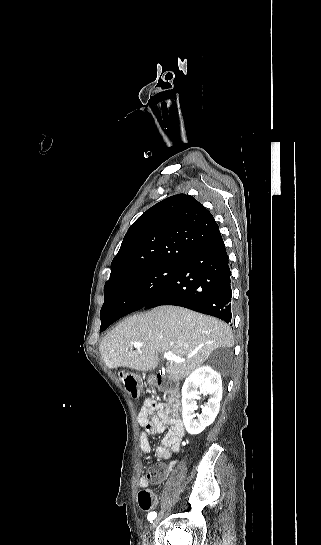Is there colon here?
Instances as JSON below:
<instances>
[{"label":"colon","mask_w":321,"mask_h":545,"mask_svg":"<svg viewBox=\"0 0 321 545\" xmlns=\"http://www.w3.org/2000/svg\"><path fill=\"white\" fill-rule=\"evenodd\" d=\"M118 375L129 395L133 398H138L140 394L138 378L132 372L125 369L120 370ZM138 503L142 510L150 511L157 506V498L149 489H142L138 493Z\"/></svg>","instance_id":"1"}]
</instances>
